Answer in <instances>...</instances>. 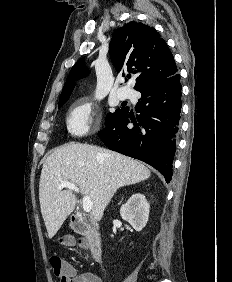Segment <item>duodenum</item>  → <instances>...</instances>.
<instances>
[{"instance_id": "1", "label": "duodenum", "mask_w": 232, "mask_h": 282, "mask_svg": "<svg viewBox=\"0 0 232 282\" xmlns=\"http://www.w3.org/2000/svg\"><path fill=\"white\" fill-rule=\"evenodd\" d=\"M72 226L78 234L86 237L89 250L95 261H100L102 258V241L97 229L91 226L85 219L80 216L72 217Z\"/></svg>"}]
</instances>
